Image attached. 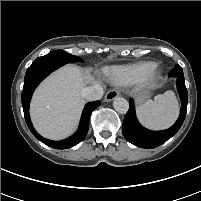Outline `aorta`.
<instances>
[{"instance_id":"aorta-1","label":"aorta","mask_w":201,"mask_h":201,"mask_svg":"<svg viewBox=\"0 0 201 201\" xmlns=\"http://www.w3.org/2000/svg\"><path fill=\"white\" fill-rule=\"evenodd\" d=\"M113 107L118 113L125 114L129 109V103L125 98L116 97L113 101Z\"/></svg>"}]
</instances>
